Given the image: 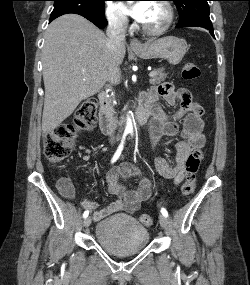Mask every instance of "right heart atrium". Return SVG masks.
I'll list each match as a JSON object with an SVG mask.
<instances>
[{"label": "right heart atrium", "mask_w": 250, "mask_h": 285, "mask_svg": "<svg viewBox=\"0 0 250 285\" xmlns=\"http://www.w3.org/2000/svg\"><path fill=\"white\" fill-rule=\"evenodd\" d=\"M106 18L108 23L118 29L128 26V18L124 6L115 1L108 2L106 5Z\"/></svg>", "instance_id": "1"}]
</instances>
